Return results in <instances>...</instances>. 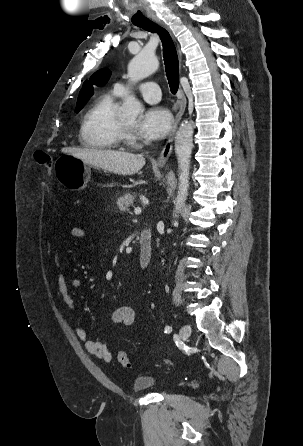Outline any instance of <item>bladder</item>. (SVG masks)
I'll return each mask as SVG.
<instances>
[{
	"instance_id": "bladder-1",
	"label": "bladder",
	"mask_w": 303,
	"mask_h": 446,
	"mask_svg": "<svg viewBox=\"0 0 303 446\" xmlns=\"http://www.w3.org/2000/svg\"><path fill=\"white\" fill-rule=\"evenodd\" d=\"M156 379L152 376L141 375L134 381V390L137 392L146 391L153 388L156 385Z\"/></svg>"
}]
</instances>
